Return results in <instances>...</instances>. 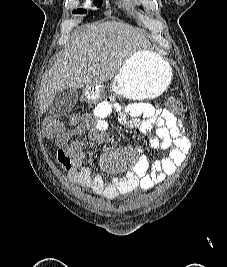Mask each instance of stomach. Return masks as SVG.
I'll use <instances>...</instances> for the list:
<instances>
[{
    "instance_id": "0dacf381",
    "label": "stomach",
    "mask_w": 227,
    "mask_h": 267,
    "mask_svg": "<svg viewBox=\"0 0 227 267\" xmlns=\"http://www.w3.org/2000/svg\"><path fill=\"white\" fill-rule=\"evenodd\" d=\"M171 78L169 63L155 51L143 49L125 62L111 87L114 93L124 94V99H150L163 93ZM103 92V85H88L85 95L88 101H96Z\"/></svg>"
}]
</instances>
